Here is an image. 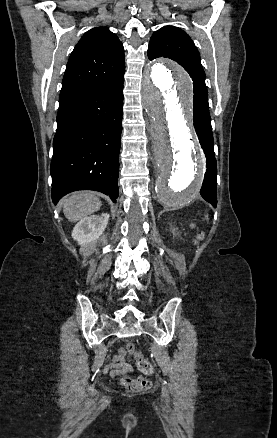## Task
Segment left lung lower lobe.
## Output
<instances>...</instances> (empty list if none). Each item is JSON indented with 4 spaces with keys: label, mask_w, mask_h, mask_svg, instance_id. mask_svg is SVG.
<instances>
[{
    "label": "left lung lower lobe",
    "mask_w": 277,
    "mask_h": 438,
    "mask_svg": "<svg viewBox=\"0 0 277 438\" xmlns=\"http://www.w3.org/2000/svg\"><path fill=\"white\" fill-rule=\"evenodd\" d=\"M193 121L196 133L198 135L201 147L206 156V173L200 190L201 196L211 203L214 207L217 205L216 196V175L217 165L213 148V135L211 128V119L209 113H203L193 110Z\"/></svg>",
    "instance_id": "1"
}]
</instances>
